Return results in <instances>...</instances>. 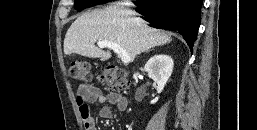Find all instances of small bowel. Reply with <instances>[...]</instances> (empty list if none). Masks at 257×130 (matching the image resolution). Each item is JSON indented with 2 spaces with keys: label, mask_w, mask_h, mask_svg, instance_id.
<instances>
[{
  "label": "small bowel",
  "mask_w": 257,
  "mask_h": 130,
  "mask_svg": "<svg viewBox=\"0 0 257 130\" xmlns=\"http://www.w3.org/2000/svg\"><path fill=\"white\" fill-rule=\"evenodd\" d=\"M76 102L85 130H97L88 103H110L114 105L118 111H125L128 106L127 100L122 95L118 93L104 94L100 88L94 85H83L79 87ZM99 117L102 119H110L113 117V110L109 106H103L99 111Z\"/></svg>",
  "instance_id": "c3829d8e"
}]
</instances>
